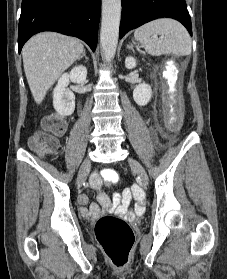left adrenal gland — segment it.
Instances as JSON below:
<instances>
[{
	"mask_svg": "<svg viewBox=\"0 0 227 279\" xmlns=\"http://www.w3.org/2000/svg\"><path fill=\"white\" fill-rule=\"evenodd\" d=\"M127 48L133 50L132 44H128V45H127Z\"/></svg>",
	"mask_w": 227,
	"mask_h": 279,
	"instance_id": "1",
	"label": "left adrenal gland"
}]
</instances>
